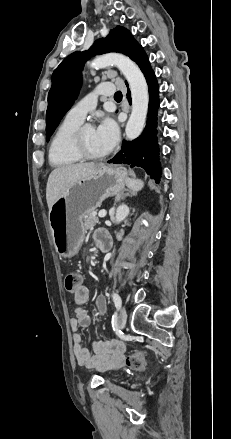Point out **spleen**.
<instances>
[{"instance_id": "1", "label": "spleen", "mask_w": 231, "mask_h": 439, "mask_svg": "<svg viewBox=\"0 0 231 439\" xmlns=\"http://www.w3.org/2000/svg\"><path fill=\"white\" fill-rule=\"evenodd\" d=\"M127 186L133 191V192H137L139 190H141L144 186V183L139 180V179H131L129 178L127 180Z\"/></svg>"}]
</instances>
